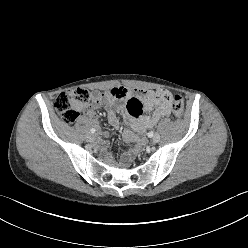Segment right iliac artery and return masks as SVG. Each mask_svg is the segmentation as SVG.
<instances>
[{"label":"right iliac artery","mask_w":248,"mask_h":248,"mask_svg":"<svg viewBox=\"0 0 248 248\" xmlns=\"http://www.w3.org/2000/svg\"><path fill=\"white\" fill-rule=\"evenodd\" d=\"M90 131H91V133H95V129L94 128H92Z\"/></svg>","instance_id":"obj_1"}]
</instances>
